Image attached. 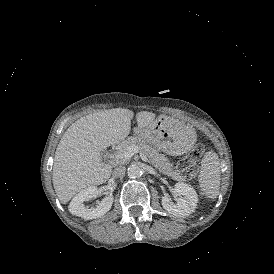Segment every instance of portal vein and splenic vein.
<instances>
[{
    "label": "portal vein and splenic vein",
    "mask_w": 274,
    "mask_h": 274,
    "mask_svg": "<svg viewBox=\"0 0 274 274\" xmlns=\"http://www.w3.org/2000/svg\"><path fill=\"white\" fill-rule=\"evenodd\" d=\"M136 153H139V148L136 145H132V146H128L123 153L116 154L115 158L118 159V160L123 159V158L129 159ZM140 157L144 162L148 161V158H147L146 155L140 153Z\"/></svg>",
    "instance_id": "1"
}]
</instances>
